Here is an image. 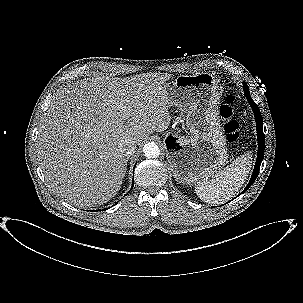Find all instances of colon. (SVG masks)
Instances as JSON below:
<instances>
[{
	"label": "colon",
	"instance_id": "5ec220e1",
	"mask_svg": "<svg viewBox=\"0 0 303 303\" xmlns=\"http://www.w3.org/2000/svg\"><path fill=\"white\" fill-rule=\"evenodd\" d=\"M235 97L227 95L220 107V115L223 119V129L228 142L234 143L239 139V123L236 119Z\"/></svg>",
	"mask_w": 303,
	"mask_h": 303
}]
</instances>
